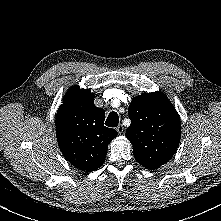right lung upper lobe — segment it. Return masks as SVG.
Here are the masks:
<instances>
[{"label": "right lung upper lobe", "mask_w": 221, "mask_h": 221, "mask_svg": "<svg viewBox=\"0 0 221 221\" xmlns=\"http://www.w3.org/2000/svg\"><path fill=\"white\" fill-rule=\"evenodd\" d=\"M88 89L70 88L56 115L58 146L73 166L93 171L102 166L117 131L104 126L105 112Z\"/></svg>", "instance_id": "cb5924a9"}]
</instances>
